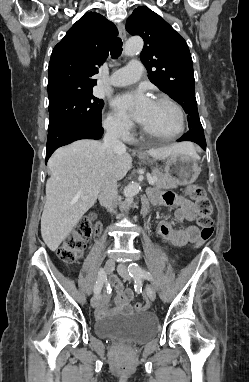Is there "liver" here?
<instances>
[{
  "instance_id": "liver-1",
  "label": "liver",
  "mask_w": 249,
  "mask_h": 382,
  "mask_svg": "<svg viewBox=\"0 0 249 382\" xmlns=\"http://www.w3.org/2000/svg\"><path fill=\"white\" fill-rule=\"evenodd\" d=\"M175 153L198 158L193 144L186 142L147 151L155 160ZM48 168L41 235L48 248L56 251L95 204L106 175L111 173L116 180L123 179L132 168V157L126 150L108 152L100 141L82 139L57 149Z\"/></svg>"
}]
</instances>
